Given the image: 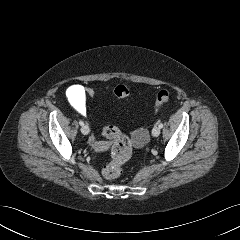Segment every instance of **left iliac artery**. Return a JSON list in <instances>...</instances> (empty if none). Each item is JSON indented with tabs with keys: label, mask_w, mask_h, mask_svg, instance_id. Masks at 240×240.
<instances>
[{
	"label": "left iliac artery",
	"mask_w": 240,
	"mask_h": 240,
	"mask_svg": "<svg viewBox=\"0 0 240 240\" xmlns=\"http://www.w3.org/2000/svg\"><path fill=\"white\" fill-rule=\"evenodd\" d=\"M158 127H159V128H162V127H163V123H159V124H158Z\"/></svg>",
	"instance_id": "1"
}]
</instances>
